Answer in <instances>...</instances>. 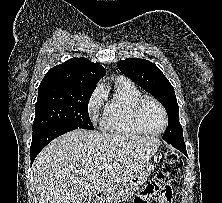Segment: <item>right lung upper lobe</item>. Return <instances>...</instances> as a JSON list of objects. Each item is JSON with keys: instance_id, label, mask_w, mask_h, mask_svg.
<instances>
[{"instance_id": "1", "label": "right lung upper lobe", "mask_w": 222, "mask_h": 203, "mask_svg": "<svg viewBox=\"0 0 222 203\" xmlns=\"http://www.w3.org/2000/svg\"><path fill=\"white\" fill-rule=\"evenodd\" d=\"M105 75V69L86 58H72L51 68L40 83L39 90L51 87L92 88Z\"/></svg>"}]
</instances>
